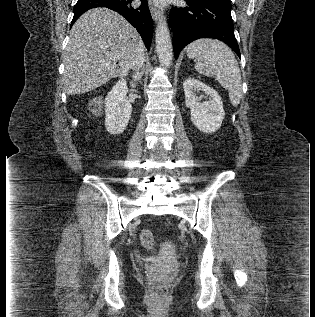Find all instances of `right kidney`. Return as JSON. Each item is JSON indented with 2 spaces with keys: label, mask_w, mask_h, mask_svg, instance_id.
Masks as SVG:
<instances>
[{
  "label": "right kidney",
  "mask_w": 315,
  "mask_h": 317,
  "mask_svg": "<svg viewBox=\"0 0 315 317\" xmlns=\"http://www.w3.org/2000/svg\"><path fill=\"white\" fill-rule=\"evenodd\" d=\"M132 87H135L131 83ZM128 87L125 79H120L105 99V127L112 135L124 132L131 118L132 106L127 100Z\"/></svg>",
  "instance_id": "ca27d5eb"
}]
</instances>
